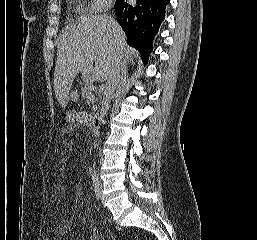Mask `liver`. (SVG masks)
<instances>
[{
    "label": "liver",
    "instance_id": "obj_1",
    "mask_svg": "<svg viewBox=\"0 0 257 240\" xmlns=\"http://www.w3.org/2000/svg\"><path fill=\"white\" fill-rule=\"evenodd\" d=\"M115 40L119 43L122 58L132 60L138 56L127 45L119 24L110 16L81 17L77 23L65 29L58 44L53 81L61 107H66L73 80L78 73L81 72L84 79L91 74L92 80H107L115 54Z\"/></svg>",
    "mask_w": 257,
    "mask_h": 240
}]
</instances>
